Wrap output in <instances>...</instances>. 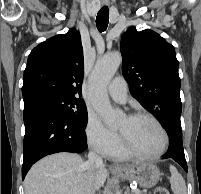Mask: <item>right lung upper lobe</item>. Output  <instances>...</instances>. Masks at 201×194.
Wrapping results in <instances>:
<instances>
[{
    "label": "right lung upper lobe",
    "mask_w": 201,
    "mask_h": 194,
    "mask_svg": "<svg viewBox=\"0 0 201 194\" xmlns=\"http://www.w3.org/2000/svg\"><path fill=\"white\" fill-rule=\"evenodd\" d=\"M84 73L79 32L70 29L40 43L30 53L24 71V104L45 95L81 97ZM81 100V99H79Z\"/></svg>",
    "instance_id": "right-lung-upper-lobe-1"
}]
</instances>
